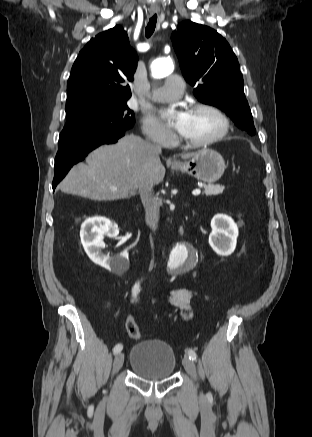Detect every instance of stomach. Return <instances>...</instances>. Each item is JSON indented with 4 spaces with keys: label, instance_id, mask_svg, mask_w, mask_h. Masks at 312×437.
Listing matches in <instances>:
<instances>
[{
    "label": "stomach",
    "instance_id": "stomach-1",
    "mask_svg": "<svg viewBox=\"0 0 312 437\" xmlns=\"http://www.w3.org/2000/svg\"><path fill=\"white\" fill-rule=\"evenodd\" d=\"M172 168L200 181L214 183L221 178L226 166L220 153L212 149H202L188 161L175 162Z\"/></svg>",
    "mask_w": 312,
    "mask_h": 437
}]
</instances>
